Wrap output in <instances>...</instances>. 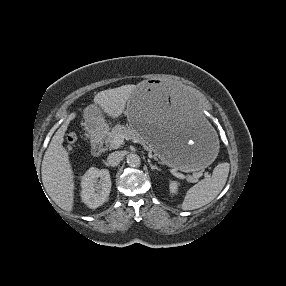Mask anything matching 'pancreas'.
I'll return each instance as SVG.
<instances>
[{
  "label": "pancreas",
  "instance_id": "cf45deb5",
  "mask_svg": "<svg viewBox=\"0 0 286 286\" xmlns=\"http://www.w3.org/2000/svg\"><path fill=\"white\" fill-rule=\"evenodd\" d=\"M116 135H123L128 138V140H132L137 143H141L145 149L151 150V146L147 143V141L139 134L131 131L129 128L123 126V125H116L112 130L104 132L103 139L105 141V145L109 149H117L118 146H116L113 142L114 137ZM195 178H191L190 181H194Z\"/></svg>",
  "mask_w": 286,
  "mask_h": 286
}]
</instances>
